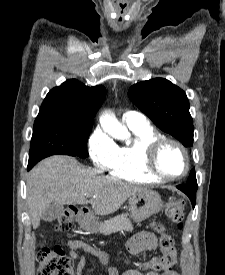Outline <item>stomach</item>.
Listing matches in <instances>:
<instances>
[{
  "label": "stomach",
  "instance_id": "obj_1",
  "mask_svg": "<svg viewBox=\"0 0 225 275\" xmlns=\"http://www.w3.org/2000/svg\"><path fill=\"white\" fill-rule=\"evenodd\" d=\"M130 213L134 222L140 223L154 214H157L163 206L160 195L152 190L137 193L130 197ZM88 229L95 230L96 225L90 224Z\"/></svg>",
  "mask_w": 225,
  "mask_h": 275
}]
</instances>
